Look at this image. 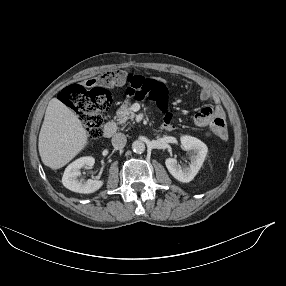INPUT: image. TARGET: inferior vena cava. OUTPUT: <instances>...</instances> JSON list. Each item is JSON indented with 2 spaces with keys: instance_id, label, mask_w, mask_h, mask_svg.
Wrapping results in <instances>:
<instances>
[{
  "instance_id": "inferior-vena-cava-1",
  "label": "inferior vena cava",
  "mask_w": 286,
  "mask_h": 286,
  "mask_svg": "<svg viewBox=\"0 0 286 286\" xmlns=\"http://www.w3.org/2000/svg\"><path fill=\"white\" fill-rule=\"evenodd\" d=\"M111 141L114 148L121 149L126 145L127 138L123 133H116Z\"/></svg>"
}]
</instances>
